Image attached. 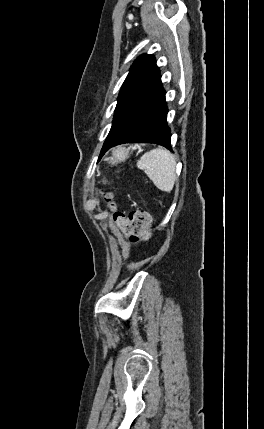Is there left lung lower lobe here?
<instances>
[{
	"instance_id": "0a47b994",
	"label": "left lung lower lobe",
	"mask_w": 264,
	"mask_h": 429,
	"mask_svg": "<svg viewBox=\"0 0 264 429\" xmlns=\"http://www.w3.org/2000/svg\"><path fill=\"white\" fill-rule=\"evenodd\" d=\"M165 91L160 83L137 106L120 136L101 151L123 143H156L172 150L170 129L167 126Z\"/></svg>"
}]
</instances>
